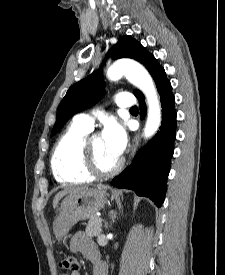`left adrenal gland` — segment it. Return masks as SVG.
<instances>
[{
    "label": "left adrenal gland",
    "instance_id": "a2214340",
    "mask_svg": "<svg viewBox=\"0 0 225 275\" xmlns=\"http://www.w3.org/2000/svg\"><path fill=\"white\" fill-rule=\"evenodd\" d=\"M105 227H106V228L108 227V224H107V223H105Z\"/></svg>",
    "mask_w": 225,
    "mask_h": 275
}]
</instances>
